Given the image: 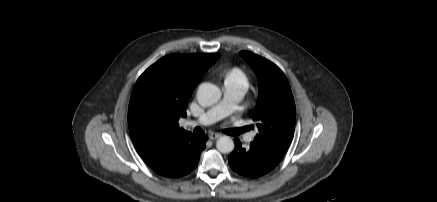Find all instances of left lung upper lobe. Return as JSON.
<instances>
[{"instance_id":"1","label":"left lung upper lobe","mask_w":437,"mask_h":202,"mask_svg":"<svg viewBox=\"0 0 437 202\" xmlns=\"http://www.w3.org/2000/svg\"><path fill=\"white\" fill-rule=\"evenodd\" d=\"M240 55L253 68L260 84L253 116L258 133L251 144L279 163L293 139L295 127L296 109L289 82L271 61L247 51Z\"/></svg>"}]
</instances>
